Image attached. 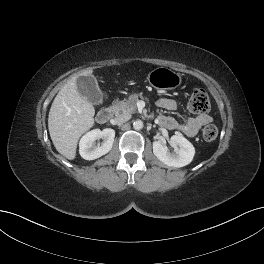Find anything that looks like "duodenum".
Masks as SVG:
<instances>
[{"label":"duodenum","mask_w":264,"mask_h":264,"mask_svg":"<svg viewBox=\"0 0 264 264\" xmlns=\"http://www.w3.org/2000/svg\"><path fill=\"white\" fill-rule=\"evenodd\" d=\"M112 116L113 110L111 108L103 109L97 114V122L100 124H105L110 121Z\"/></svg>","instance_id":"duodenum-1"}]
</instances>
